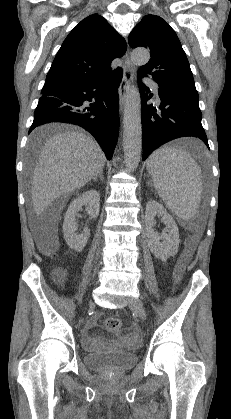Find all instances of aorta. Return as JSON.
Instances as JSON below:
<instances>
[{
  "label": "aorta",
  "instance_id": "aorta-1",
  "mask_svg": "<svg viewBox=\"0 0 231 419\" xmlns=\"http://www.w3.org/2000/svg\"><path fill=\"white\" fill-rule=\"evenodd\" d=\"M150 59L146 49H135L131 61L144 65ZM123 151L126 168L133 172L140 162L142 152L141 98L138 88L130 87L127 92L123 117Z\"/></svg>",
  "mask_w": 231,
  "mask_h": 419
}]
</instances>
